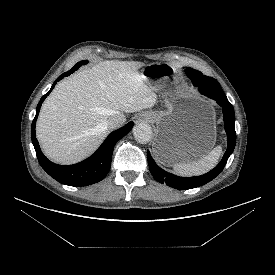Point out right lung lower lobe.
Segmentation results:
<instances>
[{
	"instance_id": "right-lung-lower-lobe-1",
	"label": "right lung lower lobe",
	"mask_w": 275,
	"mask_h": 275,
	"mask_svg": "<svg viewBox=\"0 0 275 275\" xmlns=\"http://www.w3.org/2000/svg\"><path fill=\"white\" fill-rule=\"evenodd\" d=\"M75 70H69L60 75L56 82L62 78L69 76ZM56 83H54L49 90L40 100L36 109V116L32 122L31 139L34 145L38 161L42 168L58 182L75 187L87 186L97 183L104 179L108 174L112 161L113 148L117 141L126 135L133 127L134 123L129 122L122 128L113 131L106 140L102 143L99 149L86 160L69 166L58 165L49 161L41 152L38 141L35 135L36 120L40 111V107L44 99L52 91Z\"/></svg>"
}]
</instances>
